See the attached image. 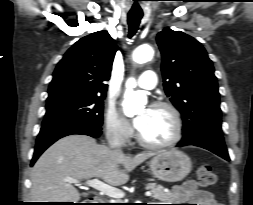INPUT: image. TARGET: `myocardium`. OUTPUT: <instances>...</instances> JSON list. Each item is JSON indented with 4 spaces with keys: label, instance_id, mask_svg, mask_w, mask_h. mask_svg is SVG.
Masks as SVG:
<instances>
[{
    "label": "myocardium",
    "instance_id": "myocardium-1",
    "mask_svg": "<svg viewBox=\"0 0 253 205\" xmlns=\"http://www.w3.org/2000/svg\"><path fill=\"white\" fill-rule=\"evenodd\" d=\"M152 108L164 109L169 112L174 123V133L169 140L160 142V143H154V142H149L145 140L140 135L139 131H137L136 139L138 143L142 145L143 147L150 148V149L168 148L178 143L181 140L182 135H183V120H182L179 110L171 103L165 102V101H158V102L153 103Z\"/></svg>",
    "mask_w": 253,
    "mask_h": 205
}]
</instances>
